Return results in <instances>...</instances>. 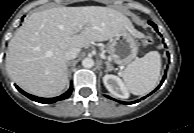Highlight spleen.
<instances>
[{
    "label": "spleen",
    "instance_id": "spleen-1",
    "mask_svg": "<svg viewBox=\"0 0 194 133\" xmlns=\"http://www.w3.org/2000/svg\"><path fill=\"white\" fill-rule=\"evenodd\" d=\"M161 58L157 51H151L131 62L123 71L122 78L128 91L134 95L151 92L160 76Z\"/></svg>",
    "mask_w": 194,
    "mask_h": 133
}]
</instances>
